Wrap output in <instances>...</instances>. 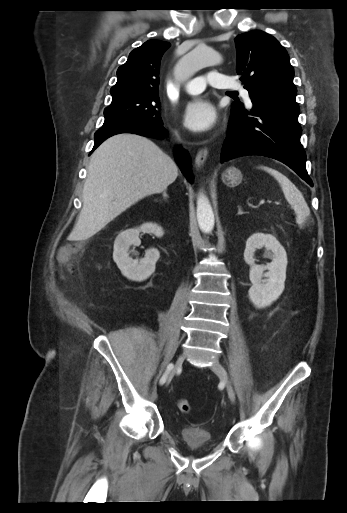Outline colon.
Listing matches in <instances>:
<instances>
[{
	"label": "colon",
	"instance_id": "colon-1",
	"mask_svg": "<svg viewBox=\"0 0 347 513\" xmlns=\"http://www.w3.org/2000/svg\"><path fill=\"white\" fill-rule=\"evenodd\" d=\"M60 262L67 267L70 266L72 262V252L69 248L62 250ZM177 407L184 414H189L191 412V405L185 398H179L177 400Z\"/></svg>",
	"mask_w": 347,
	"mask_h": 513
}]
</instances>
